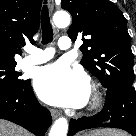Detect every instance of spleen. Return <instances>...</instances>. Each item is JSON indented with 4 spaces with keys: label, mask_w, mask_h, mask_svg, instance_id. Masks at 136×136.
Instances as JSON below:
<instances>
[{
    "label": "spleen",
    "mask_w": 136,
    "mask_h": 136,
    "mask_svg": "<svg viewBox=\"0 0 136 136\" xmlns=\"http://www.w3.org/2000/svg\"><path fill=\"white\" fill-rule=\"evenodd\" d=\"M86 136H125L122 132L112 130V129H99L93 131L91 134H86Z\"/></svg>",
    "instance_id": "3e777b00"
}]
</instances>
